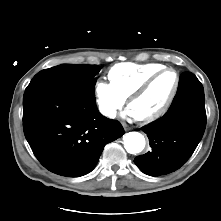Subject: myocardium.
I'll list each match as a JSON object with an SVG mask.
<instances>
[{"mask_svg":"<svg viewBox=\"0 0 221 221\" xmlns=\"http://www.w3.org/2000/svg\"><path fill=\"white\" fill-rule=\"evenodd\" d=\"M171 71L175 74L176 77V83L174 86V89L171 93V95L169 96L168 100L166 101V103L164 104V106L156 113L149 115V116H145V117H136L135 119L141 123H151L154 122L158 119H160L161 117H163L168 110L170 109L172 103L174 102L179 87H180V75L178 73V71L172 67H164L158 71H156L155 73H153L152 75H150L128 98L127 100V105L128 107H130V105L132 104L133 101H135L136 99L140 98L141 96H143L148 89L152 86V84L165 72Z\"/></svg>","mask_w":221,"mask_h":221,"instance_id":"f54148a6","label":"myocardium"}]
</instances>
